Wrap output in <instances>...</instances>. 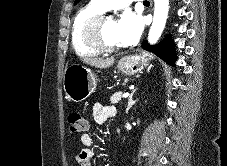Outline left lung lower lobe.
Wrapping results in <instances>:
<instances>
[{
  "label": "left lung lower lobe",
  "instance_id": "left-lung-lower-lobe-1",
  "mask_svg": "<svg viewBox=\"0 0 227 166\" xmlns=\"http://www.w3.org/2000/svg\"><path fill=\"white\" fill-rule=\"evenodd\" d=\"M142 47L146 50H150L151 52L155 53L157 56H159L160 58H162L171 65H174L176 61L174 45L170 37H167L160 44L154 46L148 45V43L145 41L142 44Z\"/></svg>",
  "mask_w": 227,
  "mask_h": 166
}]
</instances>
